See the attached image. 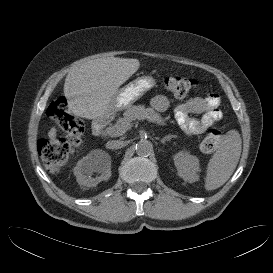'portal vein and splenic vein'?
Masks as SVG:
<instances>
[{
	"mask_svg": "<svg viewBox=\"0 0 273 273\" xmlns=\"http://www.w3.org/2000/svg\"><path fill=\"white\" fill-rule=\"evenodd\" d=\"M128 130L127 126H121V127H108L106 129V133L110 136H120L123 135Z\"/></svg>",
	"mask_w": 273,
	"mask_h": 273,
	"instance_id": "18ae733b",
	"label": "portal vein and splenic vein"
}]
</instances>
